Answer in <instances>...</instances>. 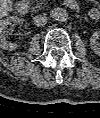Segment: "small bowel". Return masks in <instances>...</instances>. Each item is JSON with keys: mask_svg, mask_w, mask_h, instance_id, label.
<instances>
[{"mask_svg": "<svg viewBox=\"0 0 100 118\" xmlns=\"http://www.w3.org/2000/svg\"><path fill=\"white\" fill-rule=\"evenodd\" d=\"M94 11H96V12H98V13H99V11L96 10V9H94V10L91 11V16H92L93 18H96V17H94V16L92 15V13H93ZM98 17H99V16H98ZM98 17H97V18H98Z\"/></svg>", "mask_w": 100, "mask_h": 118, "instance_id": "c3829d8e", "label": "small bowel"}]
</instances>
